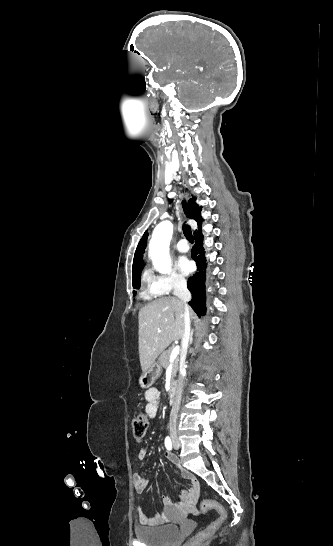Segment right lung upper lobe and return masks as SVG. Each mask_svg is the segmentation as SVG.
<instances>
[{
	"mask_svg": "<svg viewBox=\"0 0 333 546\" xmlns=\"http://www.w3.org/2000/svg\"><path fill=\"white\" fill-rule=\"evenodd\" d=\"M196 198H191L188 202V204L183 201V210L187 217L194 219L198 224V230L194 232V235L201 231V225H202V217L200 214L201 208L195 203ZM148 238L147 231L142 236L140 242L138 243V246L136 248L135 256H134V263H133V282L135 281V276L137 274H140V272L143 269V262L142 257L146 248V242Z\"/></svg>",
	"mask_w": 333,
	"mask_h": 546,
	"instance_id": "cb5924a9",
	"label": "right lung upper lobe"
}]
</instances>
